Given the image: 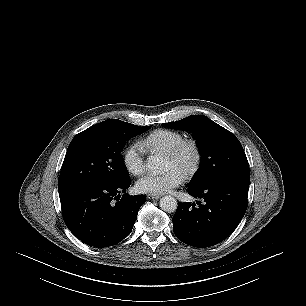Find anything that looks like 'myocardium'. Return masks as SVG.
Here are the masks:
<instances>
[{"label":"myocardium","instance_id":"obj_1","mask_svg":"<svg viewBox=\"0 0 306 306\" xmlns=\"http://www.w3.org/2000/svg\"><path fill=\"white\" fill-rule=\"evenodd\" d=\"M192 148L194 152V161L192 166L184 175V179H191L199 170L202 163V149L198 141L194 138H184L171 150L165 153L168 158L177 159L186 148Z\"/></svg>","mask_w":306,"mask_h":306}]
</instances>
